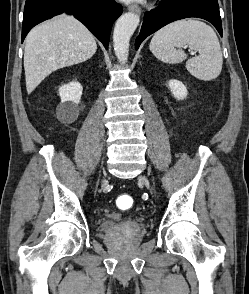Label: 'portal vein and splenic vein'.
I'll list each match as a JSON object with an SVG mask.
<instances>
[{
	"instance_id": "portal-vein-and-splenic-vein-1",
	"label": "portal vein and splenic vein",
	"mask_w": 249,
	"mask_h": 294,
	"mask_svg": "<svg viewBox=\"0 0 249 294\" xmlns=\"http://www.w3.org/2000/svg\"><path fill=\"white\" fill-rule=\"evenodd\" d=\"M190 54H191V55H194V54H195V52L191 51V52H190Z\"/></svg>"
}]
</instances>
